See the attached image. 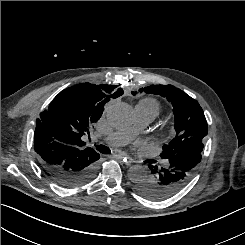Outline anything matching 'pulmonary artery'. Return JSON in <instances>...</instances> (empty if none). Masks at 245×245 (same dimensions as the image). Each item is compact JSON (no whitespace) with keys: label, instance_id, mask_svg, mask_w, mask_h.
<instances>
[{"label":"pulmonary artery","instance_id":"e3ab8cb5","mask_svg":"<svg viewBox=\"0 0 245 245\" xmlns=\"http://www.w3.org/2000/svg\"><path fill=\"white\" fill-rule=\"evenodd\" d=\"M136 123L132 128L115 131L109 134L105 140L111 146H122L133 139L138 128L144 127L151 123L157 116L155 111L152 109L136 105Z\"/></svg>","mask_w":245,"mask_h":245}]
</instances>
